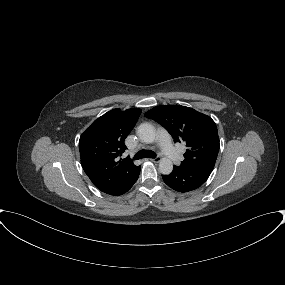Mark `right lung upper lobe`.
Here are the masks:
<instances>
[{
    "label": "right lung upper lobe",
    "mask_w": 285,
    "mask_h": 285,
    "mask_svg": "<svg viewBox=\"0 0 285 285\" xmlns=\"http://www.w3.org/2000/svg\"><path fill=\"white\" fill-rule=\"evenodd\" d=\"M140 109H113L97 120L81 135L79 151L82 167L92 183L102 192L119 188L133 179L140 166L121 156L124 140L136 124Z\"/></svg>",
    "instance_id": "cb5924a9"
}]
</instances>
